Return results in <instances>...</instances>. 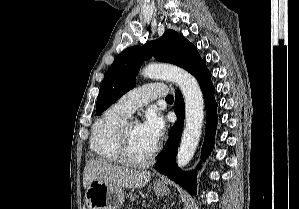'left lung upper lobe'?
I'll use <instances>...</instances> for the list:
<instances>
[{
  "mask_svg": "<svg viewBox=\"0 0 299 209\" xmlns=\"http://www.w3.org/2000/svg\"><path fill=\"white\" fill-rule=\"evenodd\" d=\"M154 55L156 60L175 64L193 74L205 61L192 43L173 30L144 46L122 51L107 71L99 91L96 113L100 115L135 85V76L144 59Z\"/></svg>",
  "mask_w": 299,
  "mask_h": 209,
  "instance_id": "left-lung-upper-lobe-1",
  "label": "left lung upper lobe"
}]
</instances>
